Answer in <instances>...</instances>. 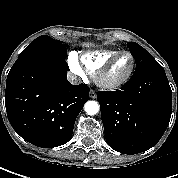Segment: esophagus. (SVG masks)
I'll return each instance as SVG.
<instances>
[{"label": "esophagus", "mask_w": 178, "mask_h": 178, "mask_svg": "<svg viewBox=\"0 0 178 178\" xmlns=\"http://www.w3.org/2000/svg\"><path fill=\"white\" fill-rule=\"evenodd\" d=\"M89 96H90V98L95 99L97 97V94L94 90H90Z\"/></svg>", "instance_id": "34e87169"}]
</instances>
